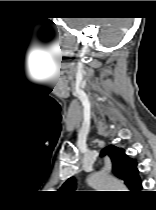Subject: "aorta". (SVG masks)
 I'll return each mask as SVG.
<instances>
[{"mask_svg":"<svg viewBox=\"0 0 156 210\" xmlns=\"http://www.w3.org/2000/svg\"><path fill=\"white\" fill-rule=\"evenodd\" d=\"M88 184L101 191H121L124 186L115 178L104 173H93L87 178Z\"/></svg>","mask_w":156,"mask_h":210,"instance_id":"obj_1","label":"aorta"}]
</instances>
